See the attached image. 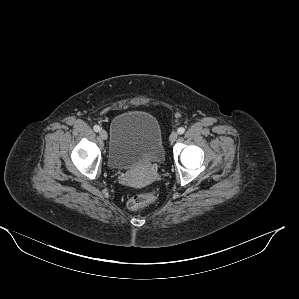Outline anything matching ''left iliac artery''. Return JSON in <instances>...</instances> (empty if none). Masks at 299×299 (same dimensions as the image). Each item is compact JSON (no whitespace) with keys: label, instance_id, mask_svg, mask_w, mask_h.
<instances>
[{"label":"left iliac artery","instance_id":"1","mask_svg":"<svg viewBox=\"0 0 299 299\" xmlns=\"http://www.w3.org/2000/svg\"><path fill=\"white\" fill-rule=\"evenodd\" d=\"M177 132L179 134H183L185 132V129L183 127L178 128Z\"/></svg>","mask_w":299,"mask_h":299}]
</instances>
